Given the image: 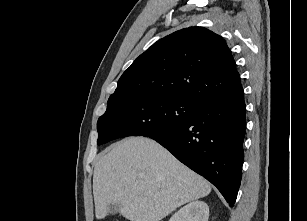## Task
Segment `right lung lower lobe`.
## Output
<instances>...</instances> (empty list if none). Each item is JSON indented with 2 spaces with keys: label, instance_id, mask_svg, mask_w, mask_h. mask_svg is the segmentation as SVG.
I'll return each mask as SVG.
<instances>
[{
  "label": "right lung lower lobe",
  "instance_id": "98d812e1",
  "mask_svg": "<svg viewBox=\"0 0 307 221\" xmlns=\"http://www.w3.org/2000/svg\"><path fill=\"white\" fill-rule=\"evenodd\" d=\"M245 112L242 90L201 104L187 122L149 137L215 185L233 207L241 182Z\"/></svg>",
  "mask_w": 307,
  "mask_h": 221
}]
</instances>
